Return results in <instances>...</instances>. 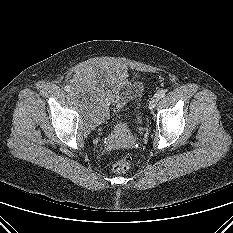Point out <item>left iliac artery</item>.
<instances>
[{"instance_id": "44dca946", "label": "left iliac artery", "mask_w": 233, "mask_h": 233, "mask_svg": "<svg viewBox=\"0 0 233 233\" xmlns=\"http://www.w3.org/2000/svg\"><path fill=\"white\" fill-rule=\"evenodd\" d=\"M165 93H166L165 90H161V91H159L158 93H156L155 95H156V97H157L158 99H160V98H162V97L165 96Z\"/></svg>"}]
</instances>
